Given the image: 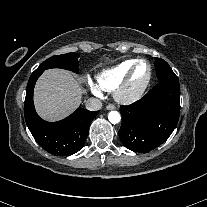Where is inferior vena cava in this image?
<instances>
[{
	"mask_svg": "<svg viewBox=\"0 0 207 207\" xmlns=\"http://www.w3.org/2000/svg\"><path fill=\"white\" fill-rule=\"evenodd\" d=\"M86 109L89 111H98L102 108V102L101 100L97 98H89L85 102Z\"/></svg>",
	"mask_w": 207,
	"mask_h": 207,
	"instance_id": "1",
	"label": "inferior vena cava"
}]
</instances>
